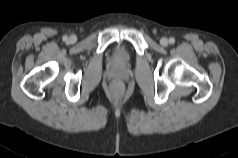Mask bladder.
I'll return each instance as SVG.
<instances>
[{
  "label": "bladder",
  "mask_w": 238,
  "mask_h": 158,
  "mask_svg": "<svg viewBox=\"0 0 238 158\" xmlns=\"http://www.w3.org/2000/svg\"><path fill=\"white\" fill-rule=\"evenodd\" d=\"M114 60L118 64H126L129 61V55L122 50H118L114 54Z\"/></svg>",
  "instance_id": "bladder-1"
}]
</instances>
